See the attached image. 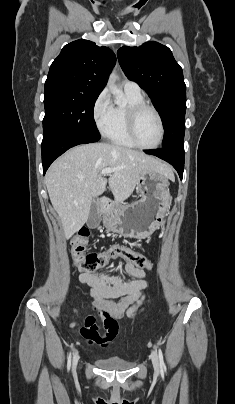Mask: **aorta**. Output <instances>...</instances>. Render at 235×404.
Here are the masks:
<instances>
[{"label": "aorta", "mask_w": 235, "mask_h": 404, "mask_svg": "<svg viewBox=\"0 0 235 404\" xmlns=\"http://www.w3.org/2000/svg\"><path fill=\"white\" fill-rule=\"evenodd\" d=\"M115 79H116V74L111 73V75L109 77L108 85H109V88L112 90V93L116 97V103L120 104L122 92L117 87H115V85H114Z\"/></svg>", "instance_id": "762f6f07"}]
</instances>
